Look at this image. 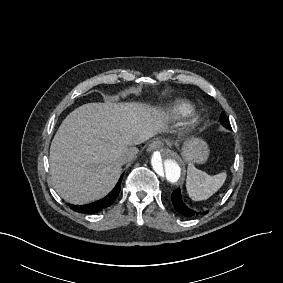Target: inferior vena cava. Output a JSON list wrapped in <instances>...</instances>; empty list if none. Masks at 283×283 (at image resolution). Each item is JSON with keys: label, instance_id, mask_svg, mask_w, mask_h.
<instances>
[{"label": "inferior vena cava", "instance_id": "602c4592", "mask_svg": "<svg viewBox=\"0 0 283 283\" xmlns=\"http://www.w3.org/2000/svg\"><path fill=\"white\" fill-rule=\"evenodd\" d=\"M138 151V148L134 146L128 147L117 157V161L121 164L130 162L136 158Z\"/></svg>", "mask_w": 283, "mask_h": 283}]
</instances>
